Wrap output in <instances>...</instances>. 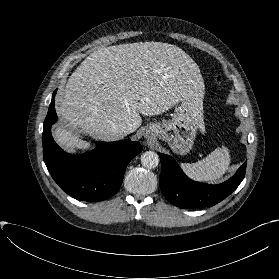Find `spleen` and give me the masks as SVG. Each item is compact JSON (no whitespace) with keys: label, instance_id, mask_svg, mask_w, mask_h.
I'll return each mask as SVG.
<instances>
[{"label":"spleen","instance_id":"1","mask_svg":"<svg viewBox=\"0 0 279 279\" xmlns=\"http://www.w3.org/2000/svg\"><path fill=\"white\" fill-rule=\"evenodd\" d=\"M230 160L229 150L222 146L196 163H181V168L189 178L195 181H216L226 173Z\"/></svg>","mask_w":279,"mask_h":279}]
</instances>
